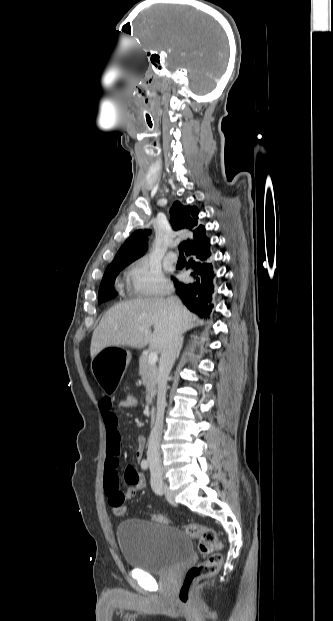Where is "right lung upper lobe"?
Returning <instances> with one entry per match:
<instances>
[{
    "instance_id": "1",
    "label": "right lung upper lobe",
    "mask_w": 333,
    "mask_h": 621,
    "mask_svg": "<svg viewBox=\"0 0 333 621\" xmlns=\"http://www.w3.org/2000/svg\"><path fill=\"white\" fill-rule=\"evenodd\" d=\"M199 210L197 207L184 206L179 201H175L170 209L171 224L174 230H188L193 232V240H187L185 252L193 248H203L210 245V240L205 234V227L197 225ZM151 230L135 231L122 245L114 260L108 267L130 264L141 257L147 250L144 241L150 235Z\"/></svg>"
}]
</instances>
